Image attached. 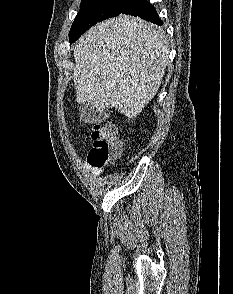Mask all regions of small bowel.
Here are the masks:
<instances>
[{"label":"small bowel","instance_id":"c3829d8e","mask_svg":"<svg viewBox=\"0 0 233 294\" xmlns=\"http://www.w3.org/2000/svg\"><path fill=\"white\" fill-rule=\"evenodd\" d=\"M93 171H94L95 173H97V172H98V169H97V168H93Z\"/></svg>","mask_w":233,"mask_h":294}]
</instances>
